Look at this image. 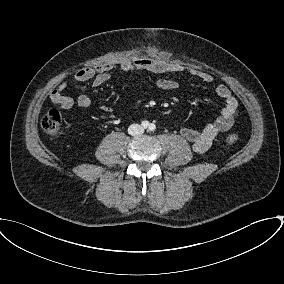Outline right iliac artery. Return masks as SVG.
Returning a JSON list of instances; mask_svg holds the SVG:
<instances>
[{"label":"right iliac artery","instance_id":"82829eb1","mask_svg":"<svg viewBox=\"0 0 284 284\" xmlns=\"http://www.w3.org/2000/svg\"><path fill=\"white\" fill-rule=\"evenodd\" d=\"M142 126H143L144 128H147V127L149 126V122H148V121H143V122H142Z\"/></svg>","mask_w":284,"mask_h":284}]
</instances>
